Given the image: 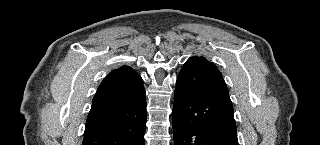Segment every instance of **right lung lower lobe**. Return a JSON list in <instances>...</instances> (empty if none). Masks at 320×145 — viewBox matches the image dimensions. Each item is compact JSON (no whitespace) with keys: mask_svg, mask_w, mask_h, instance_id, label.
Here are the masks:
<instances>
[{"mask_svg":"<svg viewBox=\"0 0 320 145\" xmlns=\"http://www.w3.org/2000/svg\"><path fill=\"white\" fill-rule=\"evenodd\" d=\"M106 107L89 113L82 145H145L146 95L136 77L112 90Z\"/></svg>","mask_w":320,"mask_h":145,"instance_id":"1","label":"right lung lower lobe"}]
</instances>
